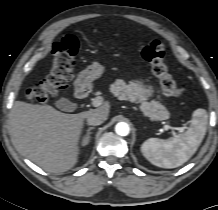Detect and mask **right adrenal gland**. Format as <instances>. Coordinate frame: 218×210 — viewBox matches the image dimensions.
Returning a JSON list of instances; mask_svg holds the SVG:
<instances>
[{
    "label": "right adrenal gland",
    "instance_id": "1",
    "mask_svg": "<svg viewBox=\"0 0 218 210\" xmlns=\"http://www.w3.org/2000/svg\"><path fill=\"white\" fill-rule=\"evenodd\" d=\"M93 129H94V127H90V128L87 129L86 135L82 139V144L83 145H87L89 143V141H90V131L93 130Z\"/></svg>",
    "mask_w": 218,
    "mask_h": 210
}]
</instances>
